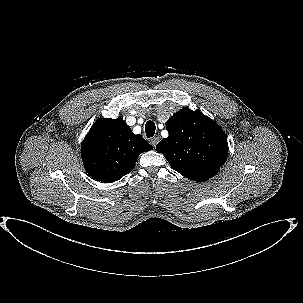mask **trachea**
<instances>
[{
  "instance_id": "3493384b",
  "label": "trachea",
  "mask_w": 303,
  "mask_h": 303,
  "mask_svg": "<svg viewBox=\"0 0 303 303\" xmlns=\"http://www.w3.org/2000/svg\"><path fill=\"white\" fill-rule=\"evenodd\" d=\"M156 126L155 123L151 120L147 121L145 125V132L148 138L153 137L155 134Z\"/></svg>"
}]
</instances>
